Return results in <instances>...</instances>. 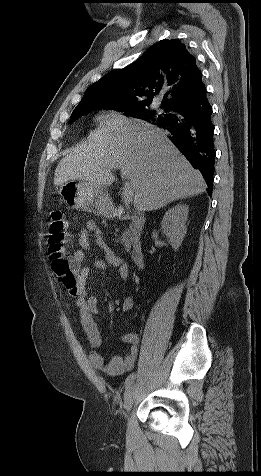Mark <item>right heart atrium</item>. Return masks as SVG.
I'll list each match as a JSON object with an SVG mask.
<instances>
[{"label":"right heart atrium","instance_id":"right-heart-atrium-1","mask_svg":"<svg viewBox=\"0 0 261 476\" xmlns=\"http://www.w3.org/2000/svg\"><path fill=\"white\" fill-rule=\"evenodd\" d=\"M112 114H113V115H116V114H118V112H116V111H113V113H112Z\"/></svg>","mask_w":261,"mask_h":476}]
</instances>
